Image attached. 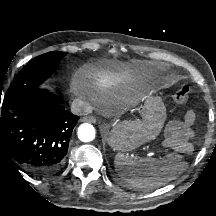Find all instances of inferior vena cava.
I'll return each mask as SVG.
<instances>
[{
  "label": "inferior vena cava",
  "instance_id": "1",
  "mask_svg": "<svg viewBox=\"0 0 216 216\" xmlns=\"http://www.w3.org/2000/svg\"><path fill=\"white\" fill-rule=\"evenodd\" d=\"M71 111L76 115H86L92 112V107L89 103L77 98L71 104Z\"/></svg>",
  "mask_w": 216,
  "mask_h": 216
}]
</instances>
